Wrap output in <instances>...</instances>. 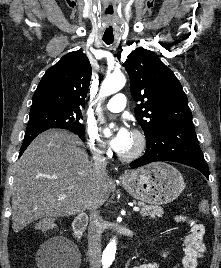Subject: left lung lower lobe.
Wrapping results in <instances>:
<instances>
[{"mask_svg": "<svg viewBox=\"0 0 221 268\" xmlns=\"http://www.w3.org/2000/svg\"><path fill=\"white\" fill-rule=\"evenodd\" d=\"M155 161L179 162L198 169L209 179L208 166L193 126H174L158 132L147 141L145 154L130 166L138 168Z\"/></svg>", "mask_w": 221, "mask_h": 268, "instance_id": "obj_1", "label": "left lung lower lobe"}]
</instances>
